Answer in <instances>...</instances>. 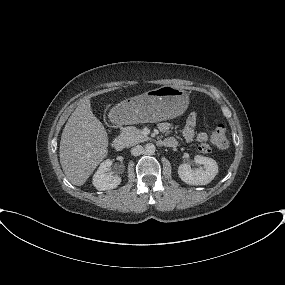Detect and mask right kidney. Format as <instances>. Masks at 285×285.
I'll return each mask as SVG.
<instances>
[{
  "mask_svg": "<svg viewBox=\"0 0 285 285\" xmlns=\"http://www.w3.org/2000/svg\"><path fill=\"white\" fill-rule=\"evenodd\" d=\"M112 161L107 159L98 167L93 176V185L99 191L112 190L118 187L121 183V177L114 175L112 172L107 173Z\"/></svg>",
  "mask_w": 285,
  "mask_h": 285,
  "instance_id": "ca27d5eb",
  "label": "right kidney"
}]
</instances>
